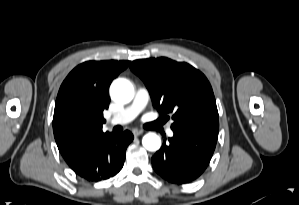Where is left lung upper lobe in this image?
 <instances>
[{"mask_svg": "<svg viewBox=\"0 0 299 205\" xmlns=\"http://www.w3.org/2000/svg\"><path fill=\"white\" fill-rule=\"evenodd\" d=\"M130 68L145 83L159 113L172 115V130L219 129L212 87L199 70L165 57L135 60Z\"/></svg>", "mask_w": 299, "mask_h": 205, "instance_id": "obj_1", "label": "left lung upper lobe"}]
</instances>
